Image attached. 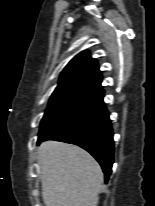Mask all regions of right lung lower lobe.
Segmentation results:
<instances>
[{"label": "right lung lower lobe", "instance_id": "obj_1", "mask_svg": "<svg viewBox=\"0 0 155 206\" xmlns=\"http://www.w3.org/2000/svg\"><path fill=\"white\" fill-rule=\"evenodd\" d=\"M71 143L87 150L101 165L107 182L114 159V140L111 121L105 103L38 139Z\"/></svg>", "mask_w": 155, "mask_h": 206}]
</instances>
